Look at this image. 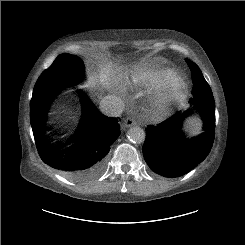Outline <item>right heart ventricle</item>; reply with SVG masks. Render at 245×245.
Segmentation results:
<instances>
[{
  "instance_id": "obj_1",
  "label": "right heart ventricle",
  "mask_w": 245,
  "mask_h": 245,
  "mask_svg": "<svg viewBox=\"0 0 245 245\" xmlns=\"http://www.w3.org/2000/svg\"><path fill=\"white\" fill-rule=\"evenodd\" d=\"M176 79L175 73L165 71L155 75H136L132 78V82L136 86L169 87Z\"/></svg>"
}]
</instances>
